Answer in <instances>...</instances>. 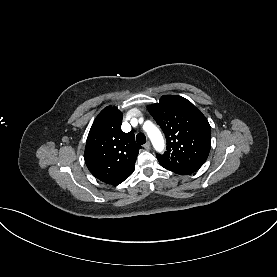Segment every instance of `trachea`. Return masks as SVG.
Masks as SVG:
<instances>
[{
	"label": "trachea",
	"instance_id": "trachea-1",
	"mask_svg": "<svg viewBox=\"0 0 277 277\" xmlns=\"http://www.w3.org/2000/svg\"><path fill=\"white\" fill-rule=\"evenodd\" d=\"M136 141L138 144L142 145L146 142V136L143 133H138L136 136Z\"/></svg>",
	"mask_w": 277,
	"mask_h": 277
}]
</instances>
